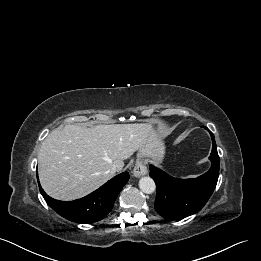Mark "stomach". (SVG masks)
<instances>
[{
  "mask_svg": "<svg viewBox=\"0 0 261 261\" xmlns=\"http://www.w3.org/2000/svg\"><path fill=\"white\" fill-rule=\"evenodd\" d=\"M164 155V142L160 135L153 131L152 134L148 137L146 144L139 150L138 160L149 157L155 162H161Z\"/></svg>",
  "mask_w": 261,
  "mask_h": 261,
  "instance_id": "obj_1",
  "label": "stomach"
}]
</instances>
